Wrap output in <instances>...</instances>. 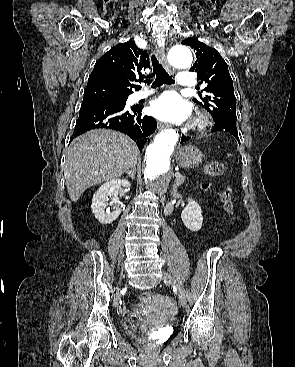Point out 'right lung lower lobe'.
<instances>
[{"label": "right lung lower lobe", "instance_id": "98d812e1", "mask_svg": "<svg viewBox=\"0 0 295 367\" xmlns=\"http://www.w3.org/2000/svg\"><path fill=\"white\" fill-rule=\"evenodd\" d=\"M141 111L142 106L127 109L125 105L114 103L82 104L70 141L92 129H113L130 136L141 151L147 137L154 133L157 127L156 120L153 117L142 116Z\"/></svg>", "mask_w": 295, "mask_h": 367}]
</instances>
